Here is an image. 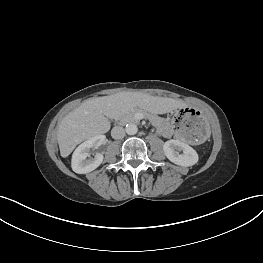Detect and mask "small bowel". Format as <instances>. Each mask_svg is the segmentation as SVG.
Returning a JSON list of instances; mask_svg holds the SVG:
<instances>
[{
	"mask_svg": "<svg viewBox=\"0 0 263 263\" xmlns=\"http://www.w3.org/2000/svg\"><path fill=\"white\" fill-rule=\"evenodd\" d=\"M159 132L164 137H171L173 135V131L171 129V126L168 123H164L159 127Z\"/></svg>",
	"mask_w": 263,
	"mask_h": 263,
	"instance_id": "small-bowel-1",
	"label": "small bowel"
}]
</instances>
